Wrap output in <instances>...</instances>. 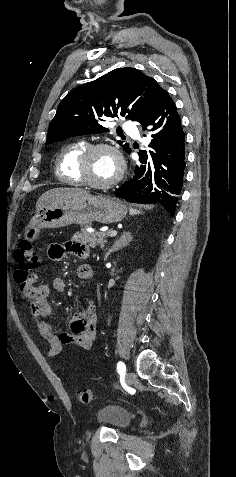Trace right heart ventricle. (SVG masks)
<instances>
[{
    "label": "right heart ventricle",
    "instance_id": "e07e8e85",
    "mask_svg": "<svg viewBox=\"0 0 236 477\" xmlns=\"http://www.w3.org/2000/svg\"><path fill=\"white\" fill-rule=\"evenodd\" d=\"M85 147L84 142L77 141L62 148L55 164V173L61 182L70 185L82 184L77 174V161Z\"/></svg>",
    "mask_w": 236,
    "mask_h": 477
}]
</instances>
